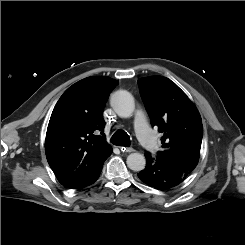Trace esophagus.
Masks as SVG:
<instances>
[{
  "label": "esophagus",
  "mask_w": 245,
  "mask_h": 245,
  "mask_svg": "<svg viewBox=\"0 0 245 245\" xmlns=\"http://www.w3.org/2000/svg\"><path fill=\"white\" fill-rule=\"evenodd\" d=\"M120 150L122 152H127V153H130V152L134 151V149L132 147H124V146L120 147Z\"/></svg>",
  "instance_id": "1"
}]
</instances>
